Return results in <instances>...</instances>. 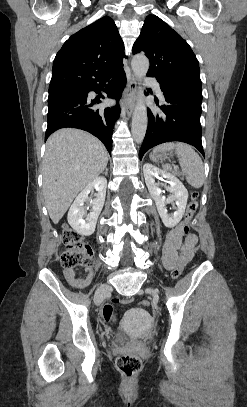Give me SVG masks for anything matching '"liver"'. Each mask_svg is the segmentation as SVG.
<instances>
[{"instance_id":"1","label":"liver","mask_w":247,"mask_h":407,"mask_svg":"<svg viewBox=\"0 0 247 407\" xmlns=\"http://www.w3.org/2000/svg\"><path fill=\"white\" fill-rule=\"evenodd\" d=\"M107 163L104 145L85 131L65 128L48 138L43 160V194L54 224L77 194L98 178Z\"/></svg>"}]
</instances>
